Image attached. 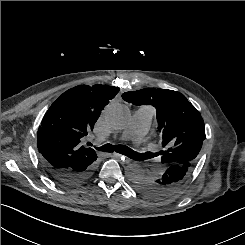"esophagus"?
I'll use <instances>...</instances> for the list:
<instances>
[{"label": "esophagus", "instance_id": "34e87169", "mask_svg": "<svg viewBox=\"0 0 245 245\" xmlns=\"http://www.w3.org/2000/svg\"><path fill=\"white\" fill-rule=\"evenodd\" d=\"M113 156L116 157V158H120L122 160V162L124 163H129L130 162V159L124 155H121L119 153H113Z\"/></svg>", "mask_w": 245, "mask_h": 245}]
</instances>
